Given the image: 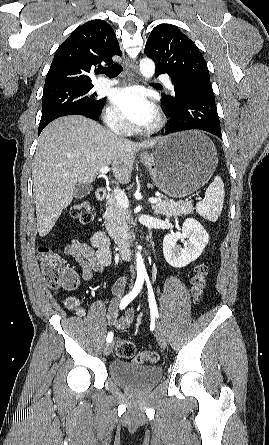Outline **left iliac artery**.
<instances>
[{"instance_id":"left-iliac-artery-1","label":"left iliac artery","mask_w":269,"mask_h":445,"mask_svg":"<svg viewBox=\"0 0 269 445\" xmlns=\"http://www.w3.org/2000/svg\"><path fill=\"white\" fill-rule=\"evenodd\" d=\"M145 279L147 282L149 307H150L151 314L154 317H158L159 314H158L157 304H156L152 285H151L150 280L147 276L145 277Z\"/></svg>"}]
</instances>
